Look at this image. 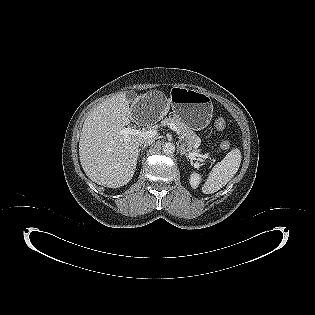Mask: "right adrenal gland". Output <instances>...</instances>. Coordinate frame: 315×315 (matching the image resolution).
<instances>
[{"label":"right adrenal gland","mask_w":315,"mask_h":315,"mask_svg":"<svg viewBox=\"0 0 315 315\" xmlns=\"http://www.w3.org/2000/svg\"><path fill=\"white\" fill-rule=\"evenodd\" d=\"M147 146H142L141 148L138 149V155L140 156V153L141 155L143 154V150L146 148Z\"/></svg>","instance_id":"1"}]
</instances>
